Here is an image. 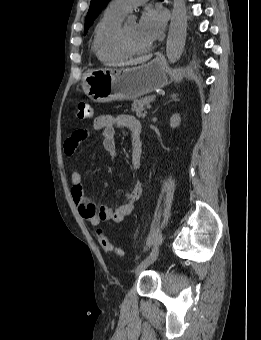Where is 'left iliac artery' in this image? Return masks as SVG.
<instances>
[{"label":"left iliac artery","instance_id":"obj_1","mask_svg":"<svg viewBox=\"0 0 261 340\" xmlns=\"http://www.w3.org/2000/svg\"><path fill=\"white\" fill-rule=\"evenodd\" d=\"M158 253H159V248L157 246H154L152 250L150 251V253L141 260L140 264L144 262H153L157 258Z\"/></svg>","mask_w":261,"mask_h":340}]
</instances>
